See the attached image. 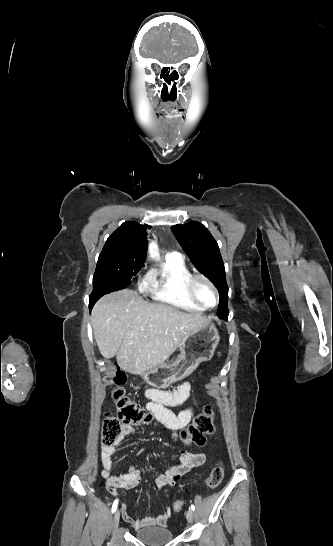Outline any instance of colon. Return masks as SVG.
<instances>
[{"instance_id": "colon-1", "label": "colon", "mask_w": 333, "mask_h": 546, "mask_svg": "<svg viewBox=\"0 0 333 546\" xmlns=\"http://www.w3.org/2000/svg\"><path fill=\"white\" fill-rule=\"evenodd\" d=\"M114 380L118 385L114 391L116 412L115 414L106 416L103 422L102 442L105 445H111L117 441L123 425L133 427L152 422V415L131 399L121 387L126 381L125 373L118 369ZM213 417L212 409L206 406L195 416L192 423L177 435V438L186 445L203 446L206 443L207 437L214 432ZM223 477L224 468L222 465H217L204 480V485L209 489H213L222 482ZM183 506V500H176L172 508L175 512H180Z\"/></svg>"}]
</instances>
